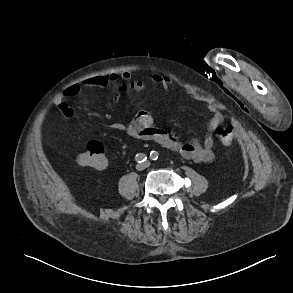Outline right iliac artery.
<instances>
[{
	"label": "right iliac artery",
	"instance_id": "1",
	"mask_svg": "<svg viewBox=\"0 0 293 293\" xmlns=\"http://www.w3.org/2000/svg\"><path fill=\"white\" fill-rule=\"evenodd\" d=\"M147 159V156L143 153H138L136 156H135V160L138 162V163H142L144 161H146Z\"/></svg>",
	"mask_w": 293,
	"mask_h": 293
}]
</instances>
